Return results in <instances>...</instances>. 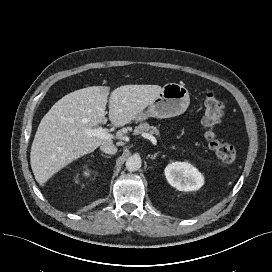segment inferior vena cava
<instances>
[{
	"mask_svg": "<svg viewBox=\"0 0 272 272\" xmlns=\"http://www.w3.org/2000/svg\"><path fill=\"white\" fill-rule=\"evenodd\" d=\"M100 150L106 154H116L117 153V147L112 143H105L100 146Z\"/></svg>",
	"mask_w": 272,
	"mask_h": 272,
	"instance_id": "obj_1",
	"label": "inferior vena cava"
}]
</instances>
